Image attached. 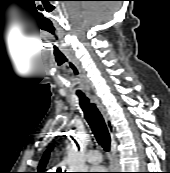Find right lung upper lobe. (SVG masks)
<instances>
[{
	"mask_svg": "<svg viewBox=\"0 0 170 173\" xmlns=\"http://www.w3.org/2000/svg\"><path fill=\"white\" fill-rule=\"evenodd\" d=\"M53 147V144L51 145V147L49 149H47V151L44 153V156L42 157L40 163H39V166H38V173H45L44 172V169H45V166L48 162V158H49V154H50V151Z\"/></svg>",
	"mask_w": 170,
	"mask_h": 173,
	"instance_id": "1",
	"label": "right lung upper lobe"
}]
</instances>
